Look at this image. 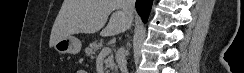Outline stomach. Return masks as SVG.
Segmentation results:
<instances>
[{"instance_id":"obj_1","label":"stomach","mask_w":244,"mask_h":73,"mask_svg":"<svg viewBox=\"0 0 244 73\" xmlns=\"http://www.w3.org/2000/svg\"><path fill=\"white\" fill-rule=\"evenodd\" d=\"M81 41L74 37L68 36L57 41L53 47L60 54H77L81 50Z\"/></svg>"}]
</instances>
